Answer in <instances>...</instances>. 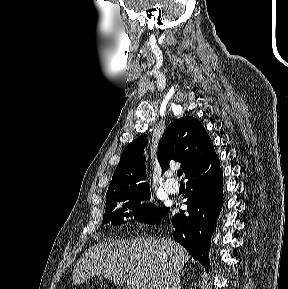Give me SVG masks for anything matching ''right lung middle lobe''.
Wrapping results in <instances>:
<instances>
[{
	"instance_id": "right-lung-middle-lobe-1",
	"label": "right lung middle lobe",
	"mask_w": 288,
	"mask_h": 289,
	"mask_svg": "<svg viewBox=\"0 0 288 289\" xmlns=\"http://www.w3.org/2000/svg\"><path fill=\"white\" fill-rule=\"evenodd\" d=\"M149 198V187L107 192V208L103 216V224L109 222H111L112 225L124 223L123 217H130L132 214L135 216V219L139 221H146L148 223L157 222L162 217L165 209H160L154 204L140 205L141 200H148ZM123 201L128 202H126L122 208L113 211L117 204ZM127 208L132 209L133 213H124Z\"/></svg>"
}]
</instances>
